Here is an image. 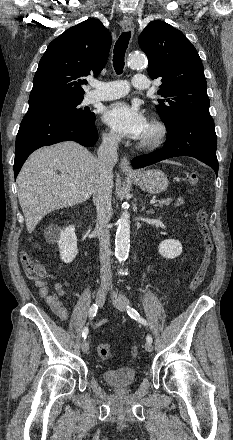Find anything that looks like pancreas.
<instances>
[{
  "instance_id": "cf45deb5",
  "label": "pancreas",
  "mask_w": 233,
  "mask_h": 440,
  "mask_svg": "<svg viewBox=\"0 0 233 440\" xmlns=\"http://www.w3.org/2000/svg\"><path fill=\"white\" fill-rule=\"evenodd\" d=\"M171 201H172V198H167V199H164V200H160L159 204H156L155 206H160V207H162L164 205L168 206L171 203Z\"/></svg>"
}]
</instances>
